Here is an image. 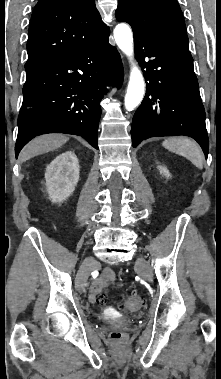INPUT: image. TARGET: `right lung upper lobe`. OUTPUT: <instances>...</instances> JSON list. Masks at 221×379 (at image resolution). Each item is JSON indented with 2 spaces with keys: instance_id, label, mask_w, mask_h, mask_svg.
<instances>
[{
  "instance_id": "1",
  "label": "right lung upper lobe",
  "mask_w": 221,
  "mask_h": 379,
  "mask_svg": "<svg viewBox=\"0 0 221 379\" xmlns=\"http://www.w3.org/2000/svg\"><path fill=\"white\" fill-rule=\"evenodd\" d=\"M107 29L95 0H39L30 20L25 67L79 48Z\"/></svg>"
}]
</instances>
